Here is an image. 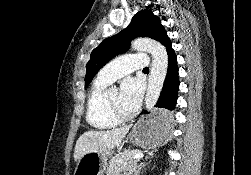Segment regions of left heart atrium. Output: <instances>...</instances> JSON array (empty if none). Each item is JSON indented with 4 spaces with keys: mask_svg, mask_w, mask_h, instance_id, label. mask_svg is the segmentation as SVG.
Returning a JSON list of instances; mask_svg holds the SVG:
<instances>
[{
    "mask_svg": "<svg viewBox=\"0 0 251 175\" xmlns=\"http://www.w3.org/2000/svg\"><path fill=\"white\" fill-rule=\"evenodd\" d=\"M144 87L142 81L137 77H127L120 88V104L122 109L128 113L138 110L143 97Z\"/></svg>",
    "mask_w": 251,
    "mask_h": 175,
    "instance_id": "1",
    "label": "left heart atrium"
}]
</instances>
